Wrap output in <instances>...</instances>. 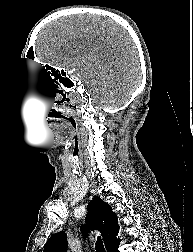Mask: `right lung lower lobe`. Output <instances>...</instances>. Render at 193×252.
<instances>
[{
	"mask_svg": "<svg viewBox=\"0 0 193 252\" xmlns=\"http://www.w3.org/2000/svg\"><path fill=\"white\" fill-rule=\"evenodd\" d=\"M119 246V245H118ZM118 246L113 250V252H119Z\"/></svg>",
	"mask_w": 193,
	"mask_h": 252,
	"instance_id": "1",
	"label": "right lung lower lobe"
}]
</instances>
